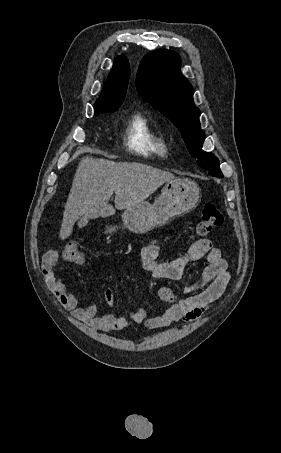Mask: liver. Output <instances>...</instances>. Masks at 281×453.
I'll list each match as a JSON object with an SVG mask.
<instances>
[{"instance_id":"obj_1","label":"liver","mask_w":281,"mask_h":453,"mask_svg":"<svg viewBox=\"0 0 281 453\" xmlns=\"http://www.w3.org/2000/svg\"><path fill=\"white\" fill-rule=\"evenodd\" d=\"M175 178L172 172L143 162H114L108 158H81L68 194L60 239H68L80 216H111L116 208H131L143 202L161 184ZM115 192V208L108 204Z\"/></svg>"}]
</instances>
